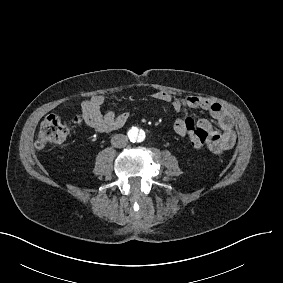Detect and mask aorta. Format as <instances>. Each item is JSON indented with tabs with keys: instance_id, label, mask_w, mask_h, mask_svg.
Returning a JSON list of instances; mask_svg holds the SVG:
<instances>
[{
	"instance_id": "1",
	"label": "aorta",
	"mask_w": 283,
	"mask_h": 283,
	"mask_svg": "<svg viewBox=\"0 0 283 283\" xmlns=\"http://www.w3.org/2000/svg\"><path fill=\"white\" fill-rule=\"evenodd\" d=\"M128 137H129L131 142L140 143V142L144 141L146 134H145L144 130H142L138 127H132L128 132Z\"/></svg>"
}]
</instances>
